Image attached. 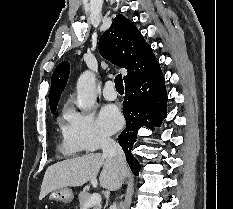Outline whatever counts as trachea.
Instances as JSON below:
<instances>
[{"mask_svg": "<svg viewBox=\"0 0 233 209\" xmlns=\"http://www.w3.org/2000/svg\"><path fill=\"white\" fill-rule=\"evenodd\" d=\"M114 82H115V88H116V90H124L122 74H118L115 77Z\"/></svg>", "mask_w": 233, "mask_h": 209, "instance_id": "1", "label": "trachea"}]
</instances>
